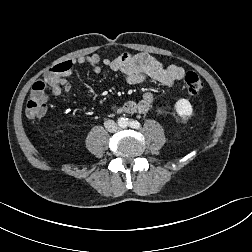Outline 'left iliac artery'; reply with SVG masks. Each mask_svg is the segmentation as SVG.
<instances>
[{"instance_id": "obj_1", "label": "left iliac artery", "mask_w": 252, "mask_h": 252, "mask_svg": "<svg viewBox=\"0 0 252 252\" xmlns=\"http://www.w3.org/2000/svg\"><path fill=\"white\" fill-rule=\"evenodd\" d=\"M129 126L134 129H139L141 125L138 121L133 120L129 122Z\"/></svg>"}]
</instances>
